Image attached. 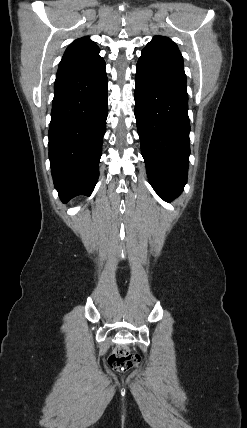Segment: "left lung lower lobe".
Wrapping results in <instances>:
<instances>
[{
    "instance_id": "0a47b994",
    "label": "left lung lower lobe",
    "mask_w": 247,
    "mask_h": 428,
    "mask_svg": "<svg viewBox=\"0 0 247 428\" xmlns=\"http://www.w3.org/2000/svg\"><path fill=\"white\" fill-rule=\"evenodd\" d=\"M135 77V117L151 186L165 201L187 183L190 154L183 60L144 48Z\"/></svg>"
}]
</instances>
